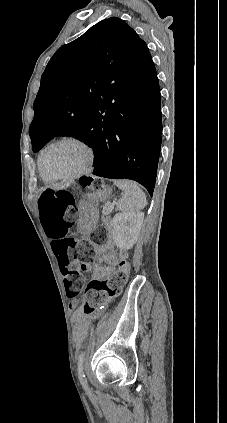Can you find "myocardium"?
Wrapping results in <instances>:
<instances>
[{
	"instance_id": "obj_1",
	"label": "myocardium",
	"mask_w": 227,
	"mask_h": 423,
	"mask_svg": "<svg viewBox=\"0 0 227 423\" xmlns=\"http://www.w3.org/2000/svg\"><path fill=\"white\" fill-rule=\"evenodd\" d=\"M66 142H71L74 144H77L79 146H81L82 148H84V150L86 151L87 154V160L86 163L84 164V166L79 169L77 172L72 173V174H61V175H55V174H51L49 173L46 168H45V164H44V157L45 154L52 149L53 147L60 145L62 143H66ZM96 162V153L94 148L83 138L81 137H77V136H65L62 137L50 144H48L40 153V158H39V166H40V170L42 172V174L50 179V180H66V181H72V180H76L79 179L85 175H87L88 173H90L93 169H94V165Z\"/></svg>"
}]
</instances>
